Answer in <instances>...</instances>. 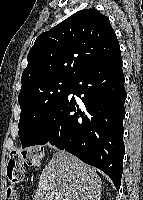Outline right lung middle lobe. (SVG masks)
Masks as SVG:
<instances>
[{
  "label": "right lung middle lobe",
  "mask_w": 143,
  "mask_h": 200,
  "mask_svg": "<svg viewBox=\"0 0 143 200\" xmlns=\"http://www.w3.org/2000/svg\"><path fill=\"white\" fill-rule=\"evenodd\" d=\"M72 81L73 79L53 78L20 90L18 134L22 148L28 146L43 121L63 100Z\"/></svg>",
  "instance_id": "1"
}]
</instances>
